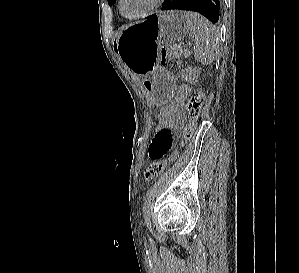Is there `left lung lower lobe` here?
<instances>
[{
	"label": "left lung lower lobe",
	"instance_id": "1",
	"mask_svg": "<svg viewBox=\"0 0 299 273\" xmlns=\"http://www.w3.org/2000/svg\"><path fill=\"white\" fill-rule=\"evenodd\" d=\"M161 9L196 11L215 24L220 17V0H165Z\"/></svg>",
	"mask_w": 299,
	"mask_h": 273
}]
</instances>
